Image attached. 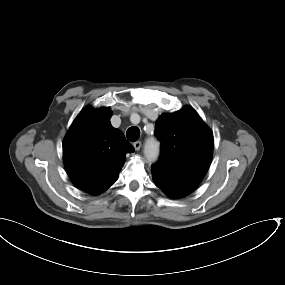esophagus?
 Instances as JSON below:
<instances>
[{
	"instance_id": "esophagus-1",
	"label": "esophagus",
	"mask_w": 285,
	"mask_h": 285,
	"mask_svg": "<svg viewBox=\"0 0 285 285\" xmlns=\"http://www.w3.org/2000/svg\"><path fill=\"white\" fill-rule=\"evenodd\" d=\"M142 146V143L140 141H136L133 143V147L135 148V150L139 151L140 148Z\"/></svg>"
}]
</instances>
